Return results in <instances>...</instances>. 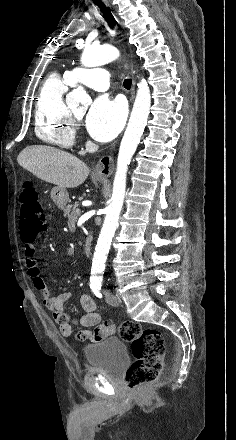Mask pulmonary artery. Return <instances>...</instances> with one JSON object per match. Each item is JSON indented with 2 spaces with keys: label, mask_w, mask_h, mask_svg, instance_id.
<instances>
[{
  "label": "pulmonary artery",
  "mask_w": 236,
  "mask_h": 440,
  "mask_svg": "<svg viewBox=\"0 0 236 440\" xmlns=\"http://www.w3.org/2000/svg\"><path fill=\"white\" fill-rule=\"evenodd\" d=\"M65 77L70 85L81 83L98 92L107 91L110 87V73L103 68H75L67 71Z\"/></svg>",
  "instance_id": "e3ab8cb5"
}]
</instances>
